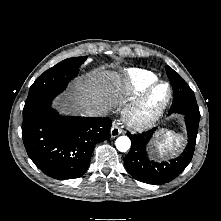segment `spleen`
<instances>
[{"instance_id":"spleen-1","label":"spleen","mask_w":221,"mask_h":221,"mask_svg":"<svg viewBox=\"0 0 221 221\" xmlns=\"http://www.w3.org/2000/svg\"><path fill=\"white\" fill-rule=\"evenodd\" d=\"M182 140L183 136L175 135L171 131H167L165 133L160 131L157 134L154 143L160 155H165L167 153L177 151L181 147Z\"/></svg>"}]
</instances>
